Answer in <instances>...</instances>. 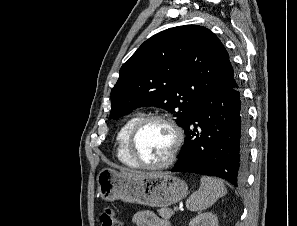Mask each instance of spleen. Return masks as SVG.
Returning a JSON list of instances; mask_svg holds the SVG:
<instances>
[{
    "label": "spleen",
    "instance_id": "spleen-1",
    "mask_svg": "<svg viewBox=\"0 0 297 226\" xmlns=\"http://www.w3.org/2000/svg\"><path fill=\"white\" fill-rule=\"evenodd\" d=\"M226 193L227 189L221 180L202 176L200 188L187 199L186 207L193 212L205 210Z\"/></svg>",
    "mask_w": 297,
    "mask_h": 226
}]
</instances>
